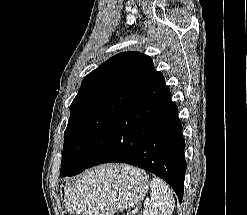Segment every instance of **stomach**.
<instances>
[{
	"label": "stomach",
	"instance_id": "stomach-1",
	"mask_svg": "<svg viewBox=\"0 0 247 215\" xmlns=\"http://www.w3.org/2000/svg\"><path fill=\"white\" fill-rule=\"evenodd\" d=\"M122 166L95 168L61 186L60 197L66 210L83 215H114L137 204L148 189L147 176L141 170H124Z\"/></svg>",
	"mask_w": 247,
	"mask_h": 215
}]
</instances>
